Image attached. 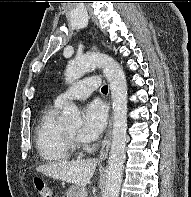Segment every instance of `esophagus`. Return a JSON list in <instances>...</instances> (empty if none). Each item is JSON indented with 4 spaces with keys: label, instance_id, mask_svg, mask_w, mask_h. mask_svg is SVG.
I'll use <instances>...</instances> for the list:
<instances>
[{
    "label": "esophagus",
    "instance_id": "34e87169",
    "mask_svg": "<svg viewBox=\"0 0 191 197\" xmlns=\"http://www.w3.org/2000/svg\"><path fill=\"white\" fill-rule=\"evenodd\" d=\"M111 131H112V117H110L109 126H108V130H107V133H106L105 141L103 143V146H102L100 154H99L100 160H104L108 156V152H109V149H110V146H111Z\"/></svg>",
    "mask_w": 191,
    "mask_h": 197
}]
</instances>
